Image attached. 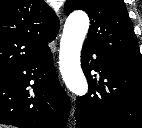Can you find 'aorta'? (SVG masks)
Masks as SVG:
<instances>
[{
	"instance_id": "aorta-1",
	"label": "aorta",
	"mask_w": 142,
	"mask_h": 128,
	"mask_svg": "<svg viewBox=\"0 0 142 128\" xmlns=\"http://www.w3.org/2000/svg\"><path fill=\"white\" fill-rule=\"evenodd\" d=\"M89 29V18L84 12L71 14L64 25L60 42L59 65L67 88L83 97L88 84L80 64V55L85 36Z\"/></svg>"
}]
</instances>
